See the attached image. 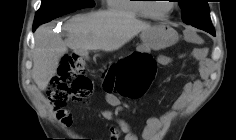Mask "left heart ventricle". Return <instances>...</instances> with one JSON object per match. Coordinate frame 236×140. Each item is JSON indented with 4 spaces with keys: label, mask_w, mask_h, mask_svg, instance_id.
<instances>
[{
    "label": "left heart ventricle",
    "mask_w": 236,
    "mask_h": 140,
    "mask_svg": "<svg viewBox=\"0 0 236 140\" xmlns=\"http://www.w3.org/2000/svg\"><path fill=\"white\" fill-rule=\"evenodd\" d=\"M170 3L172 2L156 0L154 3H152V9L155 13L164 14L170 9Z\"/></svg>",
    "instance_id": "left-heart-ventricle-1"
}]
</instances>
